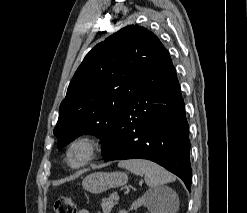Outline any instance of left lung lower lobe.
<instances>
[{
	"instance_id": "obj_1",
	"label": "left lung lower lobe",
	"mask_w": 247,
	"mask_h": 213,
	"mask_svg": "<svg viewBox=\"0 0 247 213\" xmlns=\"http://www.w3.org/2000/svg\"><path fill=\"white\" fill-rule=\"evenodd\" d=\"M190 141L184 101L168 54L144 74L125 103L105 161L148 159L176 174L191 188Z\"/></svg>"
}]
</instances>
